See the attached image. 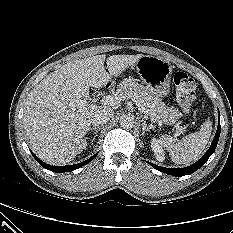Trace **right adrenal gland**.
<instances>
[{
  "label": "right adrenal gland",
  "instance_id": "1",
  "mask_svg": "<svg viewBox=\"0 0 233 233\" xmlns=\"http://www.w3.org/2000/svg\"><path fill=\"white\" fill-rule=\"evenodd\" d=\"M100 128H101L100 126H97V127H90V128H89V131H95V136H94V138H93V141H94L95 138L97 137Z\"/></svg>",
  "mask_w": 233,
  "mask_h": 233
}]
</instances>
